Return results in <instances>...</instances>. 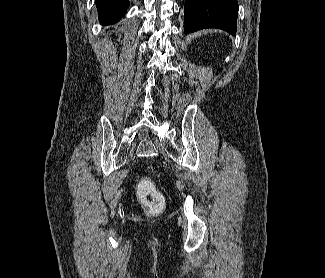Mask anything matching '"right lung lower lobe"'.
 Here are the masks:
<instances>
[{
    "label": "right lung lower lobe",
    "mask_w": 325,
    "mask_h": 278,
    "mask_svg": "<svg viewBox=\"0 0 325 278\" xmlns=\"http://www.w3.org/2000/svg\"><path fill=\"white\" fill-rule=\"evenodd\" d=\"M101 24L116 23L126 13L129 0H95Z\"/></svg>",
    "instance_id": "98d812e1"
}]
</instances>
